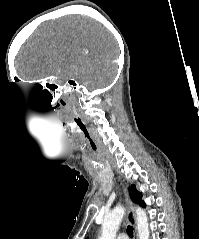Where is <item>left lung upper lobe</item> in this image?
Returning <instances> with one entry per match:
<instances>
[{"label": "left lung upper lobe", "mask_w": 199, "mask_h": 239, "mask_svg": "<svg viewBox=\"0 0 199 239\" xmlns=\"http://www.w3.org/2000/svg\"><path fill=\"white\" fill-rule=\"evenodd\" d=\"M129 195H130L131 200H132L134 203H138V204L141 205L142 207H145V203H144V201L142 200V195H141L140 192H138V191L136 190L135 185L129 186Z\"/></svg>", "instance_id": "1"}]
</instances>
